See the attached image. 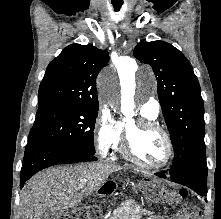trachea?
Listing matches in <instances>:
<instances>
[{"label":"trachea","instance_id":"obj_1","mask_svg":"<svg viewBox=\"0 0 221 219\" xmlns=\"http://www.w3.org/2000/svg\"><path fill=\"white\" fill-rule=\"evenodd\" d=\"M112 4H113L114 8L118 11L121 8L123 3L119 2V3H112Z\"/></svg>","mask_w":221,"mask_h":219}]
</instances>
